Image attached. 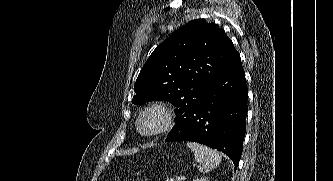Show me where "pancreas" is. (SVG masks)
I'll return each instance as SVG.
<instances>
[{
    "instance_id": "1",
    "label": "pancreas",
    "mask_w": 333,
    "mask_h": 181,
    "mask_svg": "<svg viewBox=\"0 0 333 181\" xmlns=\"http://www.w3.org/2000/svg\"><path fill=\"white\" fill-rule=\"evenodd\" d=\"M165 181H175V179L174 178H168Z\"/></svg>"
}]
</instances>
